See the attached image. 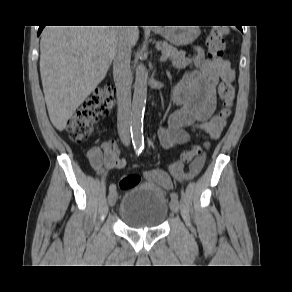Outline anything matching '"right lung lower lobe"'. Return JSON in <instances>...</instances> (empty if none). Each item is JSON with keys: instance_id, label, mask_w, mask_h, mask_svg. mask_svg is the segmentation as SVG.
<instances>
[{"instance_id": "obj_1", "label": "right lung lower lobe", "mask_w": 292, "mask_h": 292, "mask_svg": "<svg viewBox=\"0 0 292 292\" xmlns=\"http://www.w3.org/2000/svg\"><path fill=\"white\" fill-rule=\"evenodd\" d=\"M45 26H39V30H38V35L41 33L42 29L44 28Z\"/></svg>"}]
</instances>
